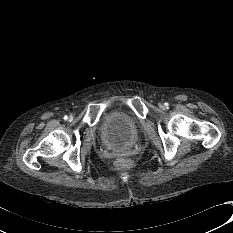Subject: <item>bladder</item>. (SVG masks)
Wrapping results in <instances>:
<instances>
[{"label": "bladder", "instance_id": "1", "mask_svg": "<svg viewBox=\"0 0 233 233\" xmlns=\"http://www.w3.org/2000/svg\"><path fill=\"white\" fill-rule=\"evenodd\" d=\"M99 134L106 146L117 151L129 150L139 134V122L123 110L107 112L99 123Z\"/></svg>", "mask_w": 233, "mask_h": 233}]
</instances>
